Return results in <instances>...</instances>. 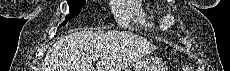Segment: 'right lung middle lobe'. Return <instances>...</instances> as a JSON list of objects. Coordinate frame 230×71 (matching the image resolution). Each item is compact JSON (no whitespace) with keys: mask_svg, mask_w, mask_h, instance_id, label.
Instances as JSON below:
<instances>
[{"mask_svg":"<svg viewBox=\"0 0 230 71\" xmlns=\"http://www.w3.org/2000/svg\"><path fill=\"white\" fill-rule=\"evenodd\" d=\"M69 8H70V14L66 16V20L59 25L65 26L67 23V20L70 18L75 17L78 13H80L82 7L85 5L86 0H67Z\"/></svg>","mask_w":230,"mask_h":71,"instance_id":"dd1d6c3e","label":"right lung middle lobe"}]
</instances>
